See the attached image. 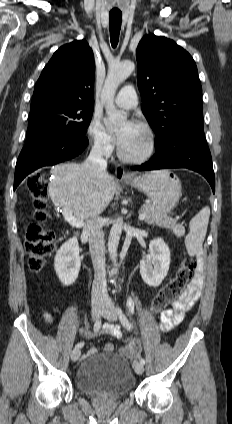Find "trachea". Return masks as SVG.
Masks as SVG:
<instances>
[{
    "mask_svg": "<svg viewBox=\"0 0 232 424\" xmlns=\"http://www.w3.org/2000/svg\"><path fill=\"white\" fill-rule=\"evenodd\" d=\"M122 13L121 12H110L109 13V24H110V40L111 45L115 48L118 44L120 29H121Z\"/></svg>",
    "mask_w": 232,
    "mask_h": 424,
    "instance_id": "3493384b",
    "label": "trachea"
}]
</instances>
